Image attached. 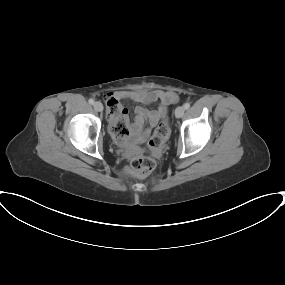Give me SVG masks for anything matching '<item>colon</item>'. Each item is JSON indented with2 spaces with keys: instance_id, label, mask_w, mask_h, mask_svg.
<instances>
[{
  "instance_id": "obj_1",
  "label": "colon",
  "mask_w": 285,
  "mask_h": 285,
  "mask_svg": "<svg viewBox=\"0 0 285 285\" xmlns=\"http://www.w3.org/2000/svg\"><path fill=\"white\" fill-rule=\"evenodd\" d=\"M106 105L109 114L115 116L120 115V104L116 99L111 98L107 100ZM111 133L116 141L124 142L129 135V126L123 119H119L111 125ZM169 133L168 122L166 120L161 121L148 142V150L151 152L160 150L168 138ZM155 166L156 163L154 159L146 155H135L130 161L131 170L141 176L150 174Z\"/></svg>"
}]
</instances>
